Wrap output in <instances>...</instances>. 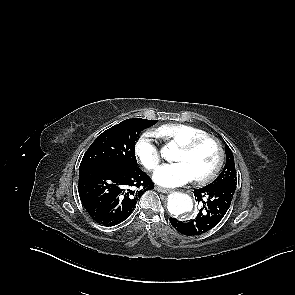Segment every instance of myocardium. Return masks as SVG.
I'll list each match as a JSON object with an SVG mask.
<instances>
[{
  "label": "myocardium",
  "instance_id": "myocardium-1",
  "mask_svg": "<svg viewBox=\"0 0 295 295\" xmlns=\"http://www.w3.org/2000/svg\"><path fill=\"white\" fill-rule=\"evenodd\" d=\"M206 141H212L213 143H215L218 150V160L215 167L210 173H208L205 176L195 178L196 182L200 184H204V183H208L212 181L214 178L217 177V175L219 174V172L221 171L223 167L224 160H225V152H224V148L221 141L215 136L208 134V135L197 137L193 139L192 141L188 142L187 144L180 147V149L183 150L184 152L191 153L195 151L201 144H203Z\"/></svg>",
  "mask_w": 295,
  "mask_h": 295
}]
</instances>
